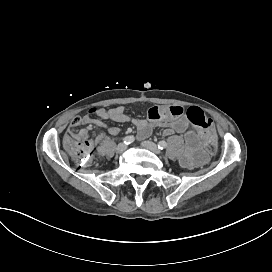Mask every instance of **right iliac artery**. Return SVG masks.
Returning <instances> with one entry per match:
<instances>
[{"mask_svg": "<svg viewBox=\"0 0 272 272\" xmlns=\"http://www.w3.org/2000/svg\"><path fill=\"white\" fill-rule=\"evenodd\" d=\"M134 140H135L134 136L130 135V136H126L123 139V142H124V144L128 145V144H131L132 142H134Z\"/></svg>", "mask_w": 272, "mask_h": 272, "instance_id": "right-iliac-artery-1", "label": "right iliac artery"}]
</instances>
